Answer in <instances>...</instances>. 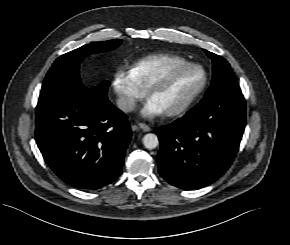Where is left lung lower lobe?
<instances>
[{"mask_svg":"<svg viewBox=\"0 0 290 245\" xmlns=\"http://www.w3.org/2000/svg\"><path fill=\"white\" fill-rule=\"evenodd\" d=\"M241 92L202 100L182 118L156 129L160 140L158 170L181 189L205 187L232 164L246 125Z\"/></svg>","mask_w":290,"mask_h":245,"instance_id":"left-lung-lower-lobe-1","label":"left lung lower lobe"}]
</instances>
